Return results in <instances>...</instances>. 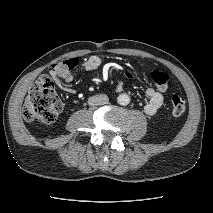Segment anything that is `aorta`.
<instances>
[{"instance_id": "762f6f07", "label": "aorta", "mask_w": 213, "mask_h": 213, "mask_svg": "<svg viewBox=\"0 0 213 213\" xmlns=\"http://www.w3.org/2000/svg\"><path fill=\"white\" fill-rule=\"evenodd\" d=\"M117 101L120 105L125 106L130 103V97L128 94L122 93L118 96Z\"/></svg>"}]
</instances>
